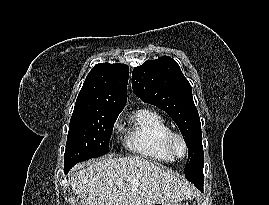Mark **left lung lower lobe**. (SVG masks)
I'll return each instance as SVG.
<instances>
[{"instance_id": "0a47b994", "label": "left lung lower lobe", "mask_w": 269, "mask_h": 205, "mask_svg": "<svg viewBox=\"0 0 269 205\" xmlns=\"http://www.w3.org/2000/svg\"><path fill=\"white\" fill-rule=\"evenodd\" d=\"M203 181H204L203 173L197 175V177H196V183H194V185H195L198 189H200L201 191L203 190ZM192 183H193V182H192Z\"/></svg>"}]
</instances>
